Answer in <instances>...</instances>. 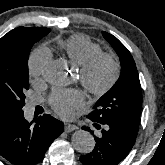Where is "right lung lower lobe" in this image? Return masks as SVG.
I'll list each match as a JSON object with an SVG mask.
<instances>
[{"label": "right lung lower lobe", "mask_w": 165, "mask_h": 165, "mask_svg": "<svg viewBox=\"0 0 165 165\" xmlns=\"http://www.w3.org/2000/svg\"><path fill=\"white\" fill-rule=\"evenodd\" d=\"M63 127L61 121L48 114L30 123L24 119L23 112L1 117L0 155L14 165H36Z\"/></svg>", "instance_id": "98d812e1"}]
</instances>
